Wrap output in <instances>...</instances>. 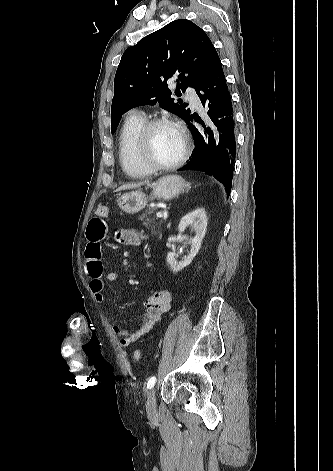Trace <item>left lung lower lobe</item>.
<instances>
[{"mask_svg":"<svg viewBox=\"0 0 333 471\" xmlns=\"http://www.w3.org/2000/svg\"><path fill=\"white\" fill-rule=\"evenodd\" d=\"M202 105L209 108L207 114L211 126L198 130L190 114L185 121L195 140V151L190 161L179 171L198 170L213 175L225 187L229 197L236 154V126L232 100L222 64L216 53L196 88ZM196 120V119H195Z\"/></svg>","mask_w":333,"mask_h":471,"instance_id":"0a47b994","label":"left lung lower lobe"}]
</instances>
